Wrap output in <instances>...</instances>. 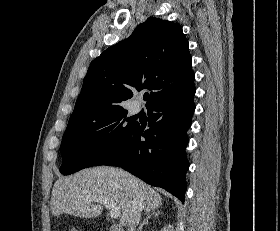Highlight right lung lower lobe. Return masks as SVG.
Wrapping results in <instances>:
<instances>
[{
    "mask_svg": "<svg viewBox=\"0 0 280 231\" xmlns=\"http://www.w3.org/2000/svg\"><path fill=\"white\" fill-rule=\"evenodd\" d=\"M195 90V86H190L148 106L150 128L144 131V127L136 125L102 165L122 167L184 202L189 168L185 148L195 110Z\"/></svg>",
    "mask_w": 280,
    "mask_h": 231,
    "instance_id": "obj_1",
    "label": "right lung lower lobe"
}]
</instances>
